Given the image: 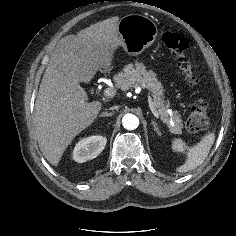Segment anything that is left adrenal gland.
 I'll return each instance as SVG.
<instances>
[{"label": "left adrenal gland", "mask_w": 236, "mask_h": 236, "mask_svg": "<svg viewBox=\"0 0 236 236\" xmlns=\"http://www.w3.org/2000/svg\"><path fill=\"white\" fill-rule=\"evenodd\" d=\"M152 125L154 126V130L160 135V131H159L157 123L155 121H152Z\"/></svg>", "instance_id": "obj_1"}]
</instances>
